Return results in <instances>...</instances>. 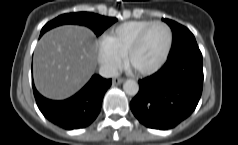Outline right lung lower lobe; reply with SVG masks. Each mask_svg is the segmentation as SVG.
I'll return each instance as SVG.
<instances>
[{"mask_svg": "<svg viewBox=\"0 0 238 145\" xmlns=\"http://www.w3.org/2000/svg\"><path fill=\"white\" fill-rule=\"evenodd\" d=\"M111 82V79L93 75L78 93L63 101L46 99L38 93L33 81L32 87L38 108L45 118L63 129L72 130L87 127L96 119Z\"/></svg>", "mask_w": 238, "mask_h": 145, "instance_id": "98d812e1", "label": "right lung lower lobe"}]
</instances>
